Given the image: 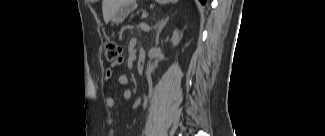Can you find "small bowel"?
Returning <instances> with one entry per match:
<instances>
[{"mask_svg":"<svg viewBox=\"0 0 325 136\" xmlns=\"http://www.w3.org/2000/svg\"><path fill=\"white\" fill-rule=\"evenodd\" d=\"M120 65V62H114L112 68ZM112 68H108L104 72V79L110 81L113 78L114 72ZM118 83L120 86L125 87L129 83V78L126 74H121L118 76ZM122 97L124 100H130L132 98V91L128 88H125L122 92ZM105 104L109 108H113L116 105V99L113 96H107L105 99ZM141 105V100L138 98L133 102V108H138Z\"/></svg>","mask_w":325,"mask_h":136,"instance_id":"c3829d8e","label":"small bowel"}]
</instances>
